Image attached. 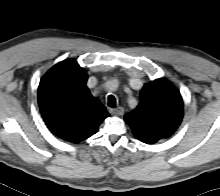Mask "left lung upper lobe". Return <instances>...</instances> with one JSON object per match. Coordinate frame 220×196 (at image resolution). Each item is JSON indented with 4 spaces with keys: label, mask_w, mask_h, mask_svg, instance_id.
<instances>
[{
    "label": "left lung upper lobe",
    "mask_w": 220,
    "mask_h": 196,
    "mask_svg": "<svg viewBox=\"0 0 220 196\" xmlns=\"http://www.w3.org/2000/svg\"><path fill=\"white\" fill-rule=\"evenodd\" d=\"M183 118L180 92L164 78L144 85L137 108L124 116L136 138L155 144L174 134Z\"/></svg>",
    "instance_id": "1"
}]
</instances>
